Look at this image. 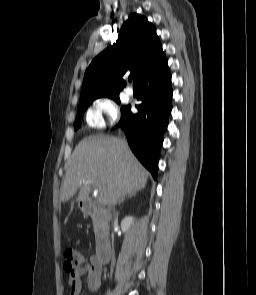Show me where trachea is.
<instances>
[{"instance_id":"1","label":"trachea","mask_w":256,"mask_h":295,"mask_svg":"<svg viewBox=\"0 0 256 295\" xmlns=\"http://www.w3.org/2000/svg\"><path fill=\"white\" fill-rule=\"evenodd\" d=\"M128 80H129V81H132V76H129Z\"/></svg>"}]
</instances>
